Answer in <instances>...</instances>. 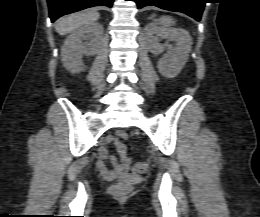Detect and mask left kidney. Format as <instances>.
<instances>
[{
	"label": "left kidney",
	"mask_w": 260,
	"mask_h": 217,
	"mask_svg": "<svg viewBox=\"0 0 260 217\" xmlns=\"http://www.w3.org/2000/svg\"><path fill=\"white\" fill-rule=\"evenodd\" d=\"M151 35L148 40V49L153 54H159L163 49L167 48V54L158 62L157 68L161 75L167 78L176 77L186 64L190 46L188 45V39L181 36L180 32L156 27L153 24L149 25ZM158 37L173 39L177 42L176 46L169 44L161 45L158 42Z\"/></svg>",
	"instance_id": "obj_1"
}]
</instances>
